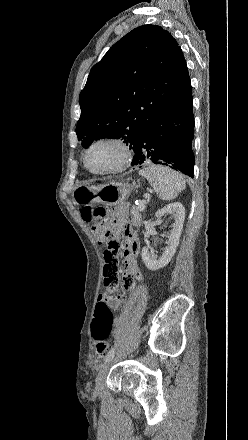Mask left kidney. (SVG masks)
<instances>
[{"label": "left kidney", "mask_w": 248, "mask_h": 440, "mask_svg": "<svg viewBox=\"0 0 248 440\" xmlns=\"http://www.w3.org/2000/svg\"><path fill=\"white\" fill-rule=\"evenodd\" d=\"M166 214H171L174 217L175 222L169 235V241L164 252L162 253V256L158 258L153 252H149L146 247H143L142 249V260L149 270H158L166 266L171 261V258L176 252L177 246L179 245V238L181 236L185 219V208L179 202L171 203L166 207L158 210L155 213V216L156 218H161Z\"/></svg>", "instance_id": "5707ae66"}]
</instances>
